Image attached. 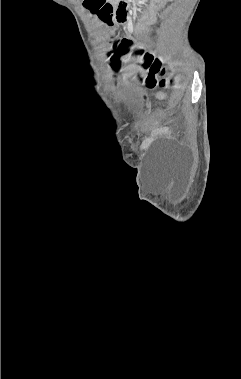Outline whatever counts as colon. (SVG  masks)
Masks as SVG:
<instances>
[{
	"instance_id": "colon-1",
	"label": "colon",
	"mask_w": 241,
	"mask_h": 379,
	"mask_svg": "<svg viewBox=\"0 0 241 379\" xmlns=\"http://www.w3.org/2000/svg\"><path fill=\"white\" fill-rule=\"evenodd\" d=\"M84 5L93 15L104 21H108L112 15V8L106 0H85ZM112 37L114 36L112 35ZM130 54L134 58L139 59L141 65L148 70V85L155 86L157 84V76L162 71L161 63L158 60H153L143 49L134 47L128 40L121 42L119 48L112 56L114 66L118 67L122 59ZM110 75H113V72H110ZM116 75H119V72H116Z\"/></svg>"
}]
</instances>
